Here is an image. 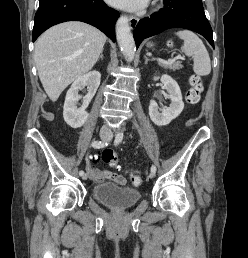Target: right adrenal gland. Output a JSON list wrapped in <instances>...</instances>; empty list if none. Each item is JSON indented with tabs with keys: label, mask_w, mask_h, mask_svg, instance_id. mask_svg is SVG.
<instances>
[{
	"label": "right adrenal gland",
	"mask_w": 248,
	"mask_h": 258,
	"mask_svg": "<svg viewBox=\"0 0 248 258\" xmlns=\"http://www.w3.org/2000/svg\"><path fill=\"white\" fill-rule=\"evenodd\" d=\"M99 59L103 60V52H101Z\"/></svg>",
	"instance_id": "right-adrenal-gland-1"
}]
</instances>
